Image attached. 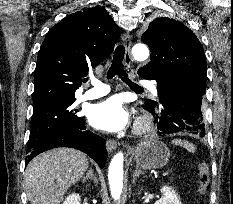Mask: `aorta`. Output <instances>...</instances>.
<instances>
[{
	"label": "aorta",
	"instance_id": "1",
	"mask_svg": "<svg viewBox=\"0 0 233 204\" xmlns=\"http://www.w3.org/2000/svg\"><path fill=\"white\" fill-rule=\"evenodd\" d=\"M132 55L134 59L143 61L149 56V50L145 44L139 43L133 46ZM123 161L122 152L117 153L109 165L108 179L111 195L114 200H118L123 189Z\"/></svg>",
	"mask_w": 233,
	"mask_h": 204
}]
</instances>
